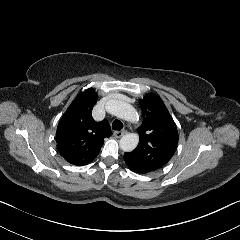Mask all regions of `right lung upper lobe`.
Here are the masks:
<instances>
[{
    "instance_id": "cb5924a9",
    "label": "right lung upper lobe",
    "mask_w": 240,
    "mask_h": 240,
    "mask_svg": "<svg viewBox=\"0 0 240 240\" xmlns=\"http://www.w3.org/2000/svg\"><path fill=\"white\" fill-rule=\"evenodd\" d=\"M97 98L93 88L81 92L59 121L57 149L73 165L83 166L91 162L98 155L104 138L111 135L107 120L96 122L92 117Z\"/></svg>"
}]
</instances>
